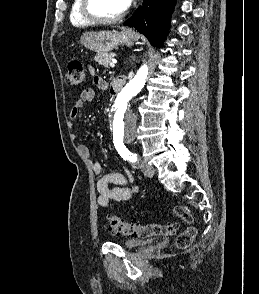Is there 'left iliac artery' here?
<instances>
[{
	"label": "left iliac artery",
	"instance_id": "1",
	"mask_svg": "<svg viewBox=\"0 0 259 294\" xmlns=\"http://www.w3.org/2000/svg\"><path fill=\"white\" fill-rule=\"evenodd\" d=\"M115 148L124 160L139 163V158L136 154L131 153L123 143L115 142Z\"/></svg>",
	"mask_w": 259,
	"mask_h": 294
}]
</instances>
